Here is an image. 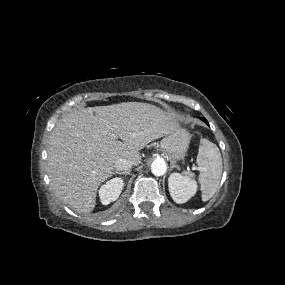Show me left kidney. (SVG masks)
Masks as SVG:
<instances>
[{
	"mask_svg": "<svg viewBox=\"0 0 285 285\" xmlns=\"http://www.w3.org/2000/svg\"><path fill=\"white\" fill-rule=\"evenodd\" d=\"M168 187L172 199L179 204L187 202L197 191L196 182L179 173L170 175Z\"/></svg>",
	"mask_w": 285,
	"mask_h": 285,
	"instance_id": "5707ae66",
	"label": "left kidney"
}]
</instances>
